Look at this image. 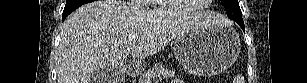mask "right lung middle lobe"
Here are the masks:
<instances>
[{
	"label": "right lung middle lobe",
	"instance_id": "dd1d6c3e",
	"mask_svg": "<svg viewBox=\"0 0 307 83\" xmlns=\"http://www.w3.org/2000/svg\"><path fill=\"white\" fill-rule=\"evenodd\" d=\"M75 0H67L66 5L74 2ZM86 2H92V0H85Z\"/></svg>",
	"mask_w": 307,
	"mask_h": 83
}]
</instances>
